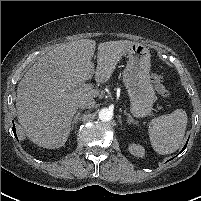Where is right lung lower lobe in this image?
I'll use <instances>...</instances> for the list:
<instances>
[{"label": "right lung lower lobe", "instance_id": "98d812e1", "mask_svg": "<svg viewBox=\"0 0 201 201\" xmlns=\"http://www.w3.org/2000/svg\"><path fill=\"white\" fill-rule=\"evenodd\" d=\"M13 133H14V135H15V137H16L15 127H13ZM16 138H17V137H16Z\"/></svg>", "mask_w": 201, "mask_h": 201}]
</instances>
